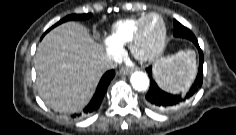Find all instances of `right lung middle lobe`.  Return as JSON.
I'll use <instances>...</instances> for the list:
<instances>
[{"label":"right lung middle lobe","instance_id":"right-lung-middle-lobe-1","mask_svg":"<svg viewBox=\"0 0 236 135\" xmlns=\"http://www.w3.org/2000/svg\"><path fill=\"white\" fill-rule=\"evenodd\" d=\"M92 14L88 13V14H79V15H76V14H73V15H69V16H66L65 18H63L62 20H60L58 23H56L53 27H55L56 25L60 24V23H63L65 21H69V20H85V19H88L89 17H91Z\"/></svg>","mask_w":236,"mask_h":135}]
</instances>
